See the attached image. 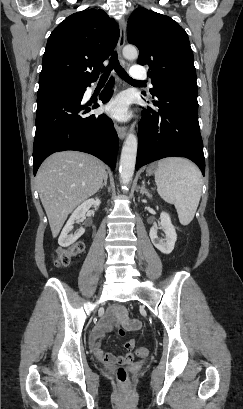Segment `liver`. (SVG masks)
I'll use <instances>...</instances> for the list:
<instances>
[{
    "label": "liver",
    "instance_id": "6515ba94",
    "mask_svg": "<svg viewBox=\"0 0 243 409\" xmlns=\"http://www.w3.org/2000/svg\"><path fill=\"white\" fill-rule=\"evenodd\" d=\"M98 158L77 151L49 156L40 166L36 181L53 238L59 234L68 215L100 189L106 174Z\"/></svg>",
    "mask_w": 243,
    "mask_h": 409
}]
</instances>
